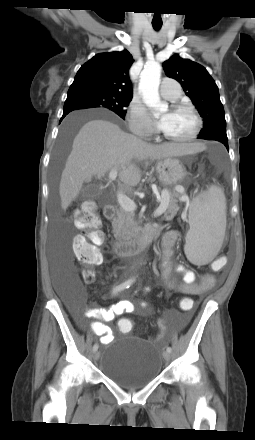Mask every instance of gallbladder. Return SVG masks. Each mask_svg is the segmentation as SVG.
Returning <instances> with one entry per match:
<instances>
[{"label":"gallbladder","mask_w":255,"mask_h":440,"mask_svg":"<svg viewBox=\"0 0 255 440\" xmlns=\"http://www.w3.org/2000/svg\"><path fill=\"white\" fill-rule=\"evenodd\" d=\"M100 191L99 186L97 184H88L82 190V197H94Z\"/></svg>","instance_id":"gallbladder-1"}]
</instances>
